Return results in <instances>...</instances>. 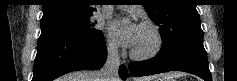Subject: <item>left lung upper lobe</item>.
Wrapping results in <instances>:
<instances>
[{
	"instance_id": "left-lung-upper-lobe-1",
	"label": "left lung upper lobe",
	"mask_w": 237,
	"mask_h": 81,
	"mask_svg": "<svg viewBox=\"0 0 237 81\" xmlns=\"http://www.w3.org/2000/svg\"><path fill=\"white\" fill-rule=\"evenodd\" d=\"M144 7L150 19L160 27L161 50H169L187 39L203 37L195 0H148Z\"/></svg>"
}]
</instances>
